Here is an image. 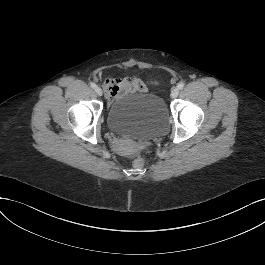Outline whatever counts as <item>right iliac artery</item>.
<instances>
[{
    "mask_svg": "<svg viewBox=\"0 0 265 265\" xmlns=\"http://www.w3.org/2000/svg\"><path fill=\"white\" fill-rule=\"evenodd\" d=\"M90 86H91V88H96V84L93 82L90 84Z\"/></svg>",
    "mask_w": 265,
    "mask_h": 265,
    "instance_id": "right-iliac-artery-1",
    "label": "right iliac artery"
}]
</instances>
